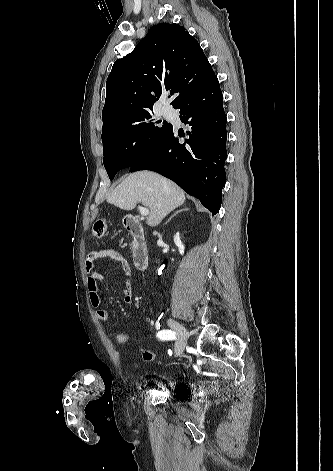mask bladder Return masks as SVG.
Instances as JSON below:
<instances>
[{
  "label": "bladder",
  "mask_w": 333,
  "mask_h": 471,
  "mask_svg": "<svg viewBox=\"0 0 333 471\" xmlns=\"http://www.w3.org/2000/svg\"><path fill=\"white\" fill-rule=\"evenodd\" d=\"M163 379L171 389L173 395H179L188 391L187 385L177 378L172 376H164Z\"/></svg>",
  "instance_id": "31cf9c89"
}]
</instances>
